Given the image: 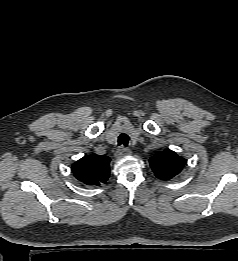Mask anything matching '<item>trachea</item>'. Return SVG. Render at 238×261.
<instances>
[{"label":"trachea","mask_w":238,"mask_h":261,"mask_svg":"<svg viewBox=\"0 0 238 261\" xmlns=\"http://www.w3.org/2000/svg\"><path fill=\"white\" fill-rule=\"evenodd\" d=\"M129 136L125 133H121L118 137V145H123L126 147L129 143Z\"/></svg>","instance_id":"obj_1"}]
</instances>
